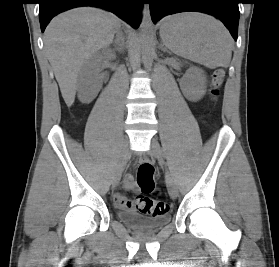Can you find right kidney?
<instances>
[{"instance_id": "right-kidney-1", "label": "right kidney", "mask_w": 279, "mask_h": 267, "mask_svg": "<svg viewBox=\"0 0 279 267\" xmlns=\"http://www.w3.org/2000/svg\"><path fill=\"white\" fill-rule=\"evenodd\" d=\"M102 56H95L84 68L78 82V98L82 103H90L102 86L99 69Z\"/></svg>"}]
</instances>
